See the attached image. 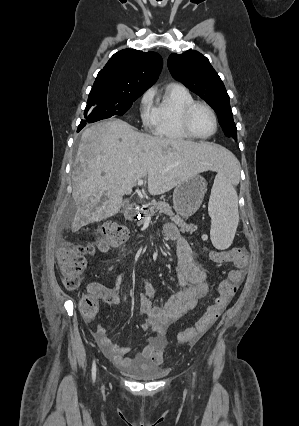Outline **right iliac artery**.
I'll list each match as a JSON object with an SVG mask.
<instances>
[{
	"label": "right iliac artery",
	"instance_id": "1",
	"mask_svg": "<svg viewBox=\"0 0 299 426\" xmlns=\"http://www.w3.org/2000/svg\"><path fill=\"white\" fill-rule=\"evenodd\" d=\"M95 378H96V364H95V361H93V365H92V379H93V382L95 381Z\"/></svg>",
	"mask_w": 299,
	"mask_h": 426
}]
</instances>
